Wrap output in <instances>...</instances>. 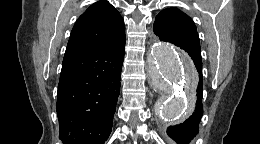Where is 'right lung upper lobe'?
<instances>
[{
	"instance_id": "1",
	"label": "right lung upper lobe",
	"mask_w": 260,
	"mask_h": 144,
	"mask_svg": "<svg viewBox=\"0 0 260 144\" xmlns=\"http://www.w3.org/2000/svg\"><path fill=\"white\" fill-rule=\"evenodd\" d=\"M124 21L108 2L92 4L76 21L65 55L118 43L125 40Z\"/></svg>"
}]
</instances>
